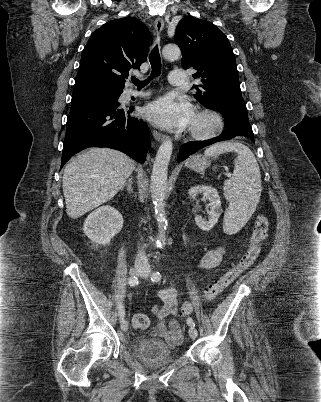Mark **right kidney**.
I'll use <instances>...</instances> for the list:
<instances>
[{
	"label": "right kidney",
	"instance_id": "obj_1",
	"mask_svg": "<svg viewBox=\"0 0 321 402\" xmlns=\"http://www.w3.org/2000/svg\"><path fill=\"white\" fill-rule=\"evenodd\" d=\"M122 226V215L112 206L106 205L88 215L83 230L93 244L107 245Z\"/></svg>",
	"mask_w": 321,
	"mask_h": 402
}]
</instances>
